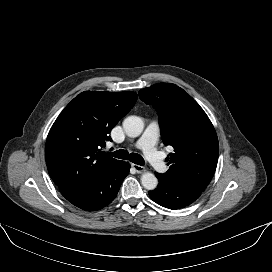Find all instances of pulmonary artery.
<instances>
[{
  "mask_svg": "<svg viewBox=\"0 0 272 272\" xmlns=\"http://www.w3.org/2000/svg\"><path fill=\"white\" fill-rule=\"evenodd\" d=\"M159 136V126L151 122L142 137L137 141L136 147L141 149L150 164L159 172L166 170V164L159 151L156 149V142Z\"/></svg>",
  "mask_w": 272,
  "mask_h": 272,
  "instance_id": "obj_1",
  "label": "pulmonary artery"
}]
</instances>
